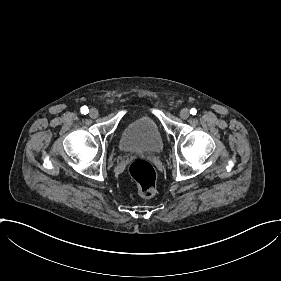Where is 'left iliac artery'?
<instances>
[{
  "mask_svg": "<svg viewBox=\"0 0 281 281\" xmlns=\"http://www.w3.org/2000/svg\"><path fill=\"white\" fill-rule=\"evenodd\" d=\"M196 113H197V110H196L195 108H192V109L190 110V114L196 115Z\"/></svg>",
  "mask_w": 281,
  "mask_h": 281,
  "instance_id": "44dca946",
  "label": "left iliac artery"
}]
</instances>
